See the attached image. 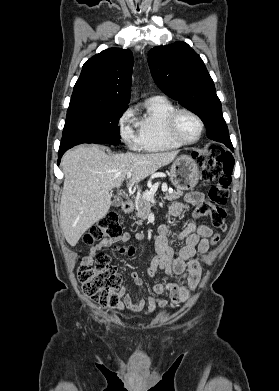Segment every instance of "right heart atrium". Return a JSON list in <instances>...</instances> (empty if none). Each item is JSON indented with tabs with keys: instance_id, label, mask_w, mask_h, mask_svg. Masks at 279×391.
<instances>
[{
	"instance_id": "right-heart-atrium-1",
	"label": "right heart atrium",
	"mask_w": 279,
	"mask_h": 391,
	"mask_svg": "<svg viewBox=\"0 0 279 391\" xmlns=\"http://www.w3.org/2000/svg\"><path fill=\"white\" fill-rule=\"evenodd\" d=\"M117 127L122 141L130 149L139 148L138 123L132 107L125 108L117 120Z\"/></svg>"
}]
</instances>
